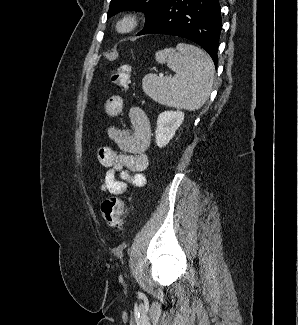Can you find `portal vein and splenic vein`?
<instances>
[{"label": "portal vein and splenic vein", "mask_w": 298, "mask_h": 325, "mask_svg": "<svg viewBox=\"0 0 298 325\" xmlns=\"http://www.w3.org/2000/svg\"><path fill=\"white\" fill-rule=\"evenodd\" d=\"M159 76H163V74H161V72H160Z\"/></svg>", "instance_id": "portal-vein-and-splenic-vein-1"}]
</instances>
